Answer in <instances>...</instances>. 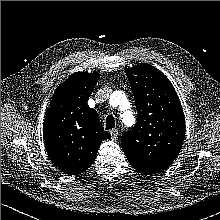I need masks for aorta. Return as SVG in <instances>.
<instances>
[{"instance_id":"762f6f07","label":"aorta","mask_w":220,"mask_h":220,"mask_svg":"<svg viewBox=\"0 0 220 220\" xmlns=\"http://www.w3.org/2000/svg\"><path fill=\"white\" fill-rule=\"evenodd\" d=\"M111 99L114 100V101H119L120 104H124L126 103L127 99H126V96L123 94V92L121 91H115L112 95H111ZM123 118V121L126 122H130L131 124L134 123V116L132 115V113L130 112H126L123 114L122 116Z\"/></svg>"}]
</instances>
